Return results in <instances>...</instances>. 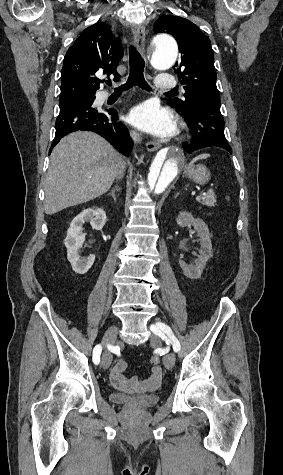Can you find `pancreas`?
<instances>
[{"label":"pancreas","mask_w":283,"mask_h":475,"mask_svg":"<svg viewBox=\"0 0 283 475\" xmlns=\"http://www.w3.org/2000/svg\"><path fill=\"white\" fill-rule=\"evenodd\" d=\"M198 202L199 204H203V206H214L216 202V196L214 192H210L208 196H199Z\"/></svg>","instance_id":"obj_1"}]
</instances>
